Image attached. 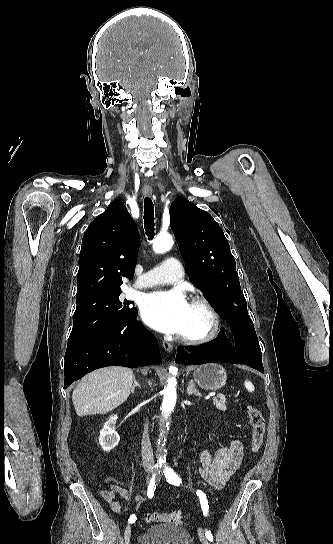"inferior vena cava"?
<instances>
[{"label":"inferior vena cava","mask_w":333,"mask_h":544,"mask_svg":"<svg viewBox=\"0 0 333 544\" xmlns=\"http://www.w3.org/2000/svg\"><path fill=\"white\" fill-rule=\"evenodd\" d=\"M141 453H142V461H143L144 468H153L154 458H153L151 442L148 435L147 423L144 425V432H143V438L141 443Z\"/></svg>","instance_id":"inferior-vena-cava-1"}]
</instances>
